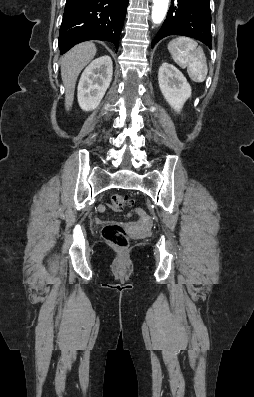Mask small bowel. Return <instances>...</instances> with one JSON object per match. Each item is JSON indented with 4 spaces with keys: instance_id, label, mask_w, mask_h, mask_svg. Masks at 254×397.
<instances>
[{
    "instance_id": "obj_1",
    "label": "small bowel",
    "mask_w": 254,
    "mask_h": 397,
    "mask_svg": "<svg viewBox=\"0 0 254 397\" xmlns=\"http://www.w3.org/2000/svg\"><path fill=\"white\" fill-rule=\"evenodd\" d=\"M106 209H107V207H106L105 205H99V206H98V211H99L100 213H104V212L106 211ZM138 214H139V216L141 217L142 224H143L144 226H148L149 221H148V218L146 217V215H145L142 211H138ZM95 221H96L97 224H104V223H106V221H104L103 219H100V218H97Z\"/></svg>"
}]
</instances>
